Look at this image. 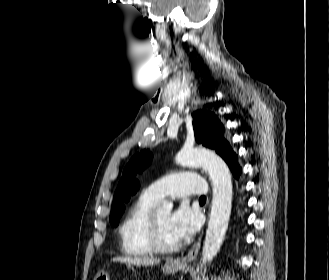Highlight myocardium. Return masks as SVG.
<instances>
[{"label": "myocardium", "instance_id": "myocardium-1", "mask_svg": "<svg viewBox=\"0 0 329 280\" xmlns=\"http://www.w3.org/2000/svg\"><path fill=\"white\" fill-rule=\"evenodd\" d=\"M147 237L152 249L160 253H171L177 251L181 245L176 244H166L162 241L157 222V212L152 211L147 222Z\"/></svg>", "mask_w": 329, "mask_h": 280}]
</instances>
